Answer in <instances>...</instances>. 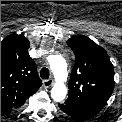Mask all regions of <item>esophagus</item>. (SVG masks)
Instances as JSON below:
<instances>
[{"instance_id": "obj_1", "label": "esophagus", "mask_w": 122, "mask_h": 122, "mask_svg": "<svg viewBox=\"0 0 122 122\" xmlns=\"http://www.w3.org/2000/svg\"><path fill=\"white\" fill-rule=\"evenodd\" d=\"M53 85V79H48L43 81V86L49 88Z\"/></svg>"}]
</instances>
